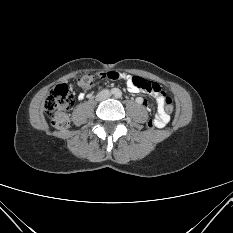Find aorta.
I'll use <instances>...</instances> for the list:
<instances>
[{
  "label": "aorta",
  "instance_id": "762f6f07",
  "mask_svg": "<svg viewBox=\"0 0 233 233\" xmlns=\"http://www.w3.org/2000/svg\"><path fill=\"white\" fill-rule=\"evenodd\" d=\"M115 95H116V96H120V95H121V92H120L119 90H117V91L115 92Z\"/></svg>",
  "mask_w": 233,
  "mask_h": 233
}]
</instances>
